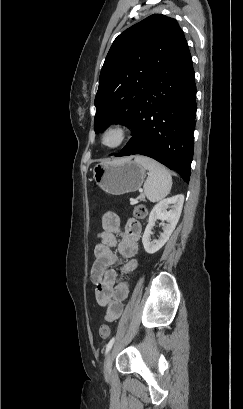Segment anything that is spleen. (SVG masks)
Instances as JSON below:
<instances>
[{
    "label": "spleen",
    "instance_id": "obj_1",
    "mask_svg": "<svg viewBox=\"0 0 243 409\" xmlns=\"http://www.w3.org/2000/svg\"><path fill=\"white\" fill-rule=\"evenodd\" d=\"M134 161L148 170V177L144 183V192L148 200L158 202L165 198L172 187V177L169 171L148 157L137 155Z\"/></svg>",
    "mask_w": 243,
    "mask_h": 409
}]
</instances>
